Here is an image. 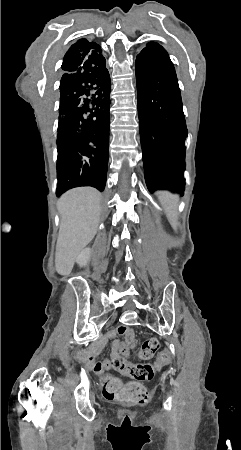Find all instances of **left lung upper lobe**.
<instances>
[{
	"instance_id": "left-lung-upper-lobe-1",
	"label": "left lung upper lobe",
	"mask_w": 241,
	"mask_h": 450,
	"mask_svg": "<svg viewBox=\"0 0 241 450\" xmlns=\"http://www.w3.org/2000/svg\"><path fill=\"white\" fill-rule=\"evenodd\" d=\"M147 46H159V44L150 42V43L147 44Z\"/></svg>"
}]
</instances>
